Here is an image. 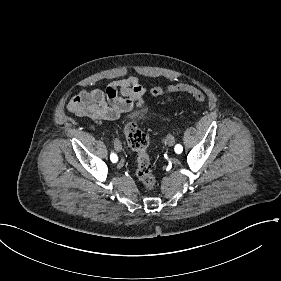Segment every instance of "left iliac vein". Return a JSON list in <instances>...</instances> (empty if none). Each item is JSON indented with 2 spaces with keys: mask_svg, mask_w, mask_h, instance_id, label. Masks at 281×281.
I'll list each match as a JSON object with an SVG mask.
<instances>
[{
  "mask_svg": "<svg viewBox=\"0 0 281 281\" xmlns=\"http://www.w3.org/2000/svg\"><path fill=\"white\" fill-rule=\"evenodd\" d=\"M166 143L169 145V146H173L174 143H175V139L172 135H168L166 137Z\"/></svg>",
  "mask_w": 281,
  "mask_h": 281,
  "instance_id": "left-iliac-vein-1",
  "label": "left iliac vein"
}]
</instances>
